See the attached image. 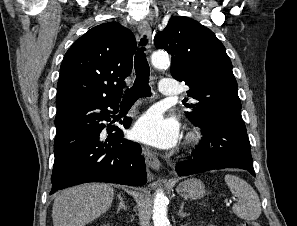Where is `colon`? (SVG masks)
Here are the masks:
<instances>
[{"mask_svg": "<svg viewBox=\"0 0 297 226\" xmlns=\"http://www.w3.org/2000/svg\"><path fill=\"white\" fill-rule=\"evenodd\" d=\"M241 226H260L256 221H243Z\"/></svg>", "mask_w": 297, "mask_h": 226, "instance_id": "5ec220e1", "label": "colon"}]
</instances>
